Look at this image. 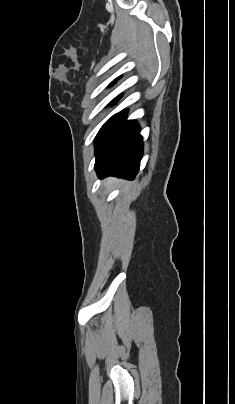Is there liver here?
I'll use <instances>...</instances> for the list:
<instances>
[{
  "instance_id": "obj_1",
  "label": "liver",
  "mask_w": 235,
  "mask_h": 404,
  "mask_svg": "<svg viewBox=\"0 0 235 404\" xmlns=\"http://www.w3.org/2000/svg\"><path fill=\"white\" fill-rule=\"evenodd\" d=\"M114 182H117V180L116 179H108L107 182H106V185L108 187H110V185L113 184Z\"/></svg>"
}]
</instances>
